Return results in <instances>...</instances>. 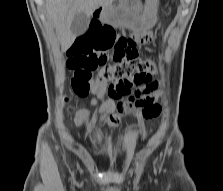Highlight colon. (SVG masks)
I'll list each match as a JSON object with an SVG mask.
<instances>
[{
	"mask_svg": "<svg viewBox=\"0 0 223 191\" xmlns=\"http://www.w3.org/2000/svg\"><path fill=\"white\" fill-rule=\"evenodd\" d=\"M112 54L113 64H106V52ZM68 66L75 70L72 87L78 96H87L96 82L141 85L150 81L156 65L141 59L134 39L118 36L109 25L92 27L78 37L68 51ZM100 68L96 79L92 71ZM129 80L132 83H129Z\"/></svg>",
	"mask_w": 223,
	"mask_h": 191,
	"instance_id": "1",
	"label": "colon"
}]
</instances>
